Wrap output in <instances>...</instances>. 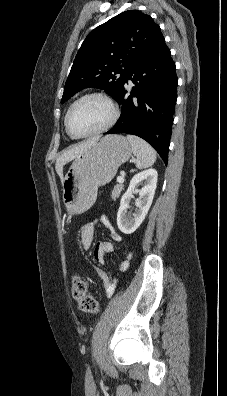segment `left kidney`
Here are the masks:
<instances>
[{"instance_id":"1","label":"left kidney","mask_w":227,"mask_h":396,"mask_svg":"<svg viewBox=\"0 0 227 396\" xmlns=\"http://www.w3.org/2000/svg\"><path fill=\"white\" fill-rule=\"evenodd\" d=\"M157 177V171L151 168L135 174L131 179L117 213V225L124 234L133 233L145 219L154 198ZM140 185L142 188L138 189ZM134 193H139V199L136 202L137 210L131 217L127 214V209Z\"/></svg>"}]
</instances>
